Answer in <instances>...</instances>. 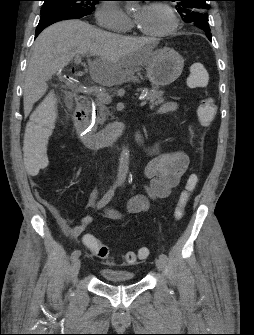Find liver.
<instances>
[{
  "label": "liver",
  "mask_w": 254,
  "mask_h": 335,
  "mask_svg": "<svg viewBox=\"0 0 254 335\" xmlns=\"http://www.w3.org/2000/svg\"><path fill=\"white\" fill-rule=\"evenodd\" d=\"M151 40L107 32L80 20H66L44 29L37 37L23 85L24 114L46 93L47 81L68 65L75 55H90L91 78L111 87L126 69L147 66L152 54Z\"/></svg>",
  "instance_id": "1"
}]
</instances>
